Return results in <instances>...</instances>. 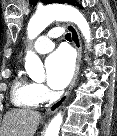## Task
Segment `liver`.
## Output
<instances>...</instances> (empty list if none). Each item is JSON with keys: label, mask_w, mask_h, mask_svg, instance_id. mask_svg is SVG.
Here are the masks:
<instances>
[{"label": "liver", "mask_w": 117, "mask_h": 136, "mask_svg": "<svg viewBox=\"0 0 117 136\" xmlns=\"http://www.w3.org/2000/svg\"><path fill=\"white\" fill-rule=\"evenodd\" d=\"M41 115L31 109H13L3 118L0 136H33Z\"/></svg>", "instance_id": "6515ba94"}]
</instances>
